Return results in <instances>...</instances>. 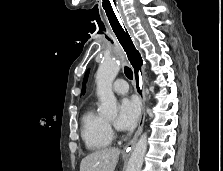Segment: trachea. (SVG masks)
Listing matches in <instances>:
<instances>
[{
  "label": "trachea",
  "instance_id": "obj_1",
  "mask_svg": "<svg viewBox=\"0 0 223 171\" xmlns=\"http://www.w3.org/2000/svg\"><path fill=\"white\" fill-rule=\"evenodd\" d=\"M124 73H125V75H126V77L128 79L132 80V78H133V72H132V70L128 66H125L124 67Z\"/></svg>",
  "mask_w": 223,
  "mask_h": 171
}]
</instances>
